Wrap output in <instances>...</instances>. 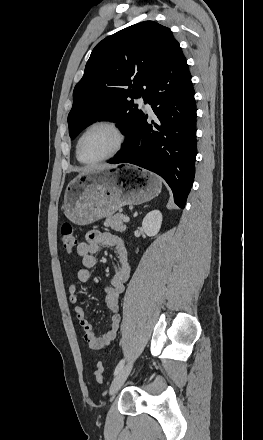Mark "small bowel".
Wrapping results in <instances>:
<instances>
[{
	"mask_svg": "<svg viewBox=\"0 0 263 440\" xmlns=\"http://www.w3.org/2000/svg\"><path fill=\"white\" fill-rule=\"evenodd\" d=\"M101 247L113 248L117 258L113 265V273L110 283L106 287L105 295V303L112 311L111 326L104 334L97 335L85 309L79 304L77 283H87L90 280V270L97 264L95 254L100 251ZM76 253L81 258L83 267L77 273V282H72L69 285V301L74 304V311L83 328L84 338L89 347L100 350L116 338L121 322L119 313L120 296L130 273L127 246L120 236L110 232L92 230L86 234L85 241L77 245Z\"/></svg>",
	"mask_w": 263,
	"mask_h": 440,
	"instance_id": "obj_1",
	"label": "small bowel"
}]
</instances>
